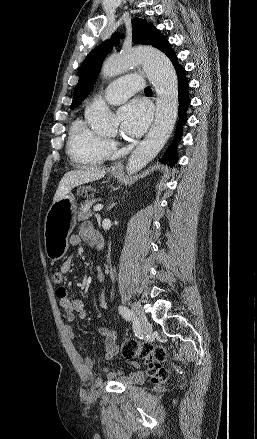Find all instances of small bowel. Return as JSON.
Wrapping results in <instances>:
<instances>
[{"instance_id": "small-bowel-1", "label": "small bowel", "mask_w": 257, "mask_h": 439, "mask_svg": "<svg viewBox=\"0 0 257 439\" xmlns=\"http://www.w3.org/2000/svg\"><path fill=\"white\" fill-rule=\"evenodd\" d=\"M101 239L97 231L89 224L83 223L77 232L70 236V244L73 246L79 245L82 242H86L91 246H96L98 240ZM72 271L71 261H65L60 267V273L62 275L68 274ZM97 279L99 282L103 281V275L100 270L97 271ZM56 295L59 299V304L66 313V319L70 322L75 321L77 318L83 319L87 312L84 302L80 299H71L68 291L64 287H59L56 290ZM107 306L104 294L101 295L99 300V307L105 309ZM69 337L73 338L75 332L72 327L67 328ZM98 332L105 339L104 354L107 360H113L119 353L118 334L106 327H99ZM83 370L86 374H90L93 370V361L89 356H84L82 361ZM133 371L131 373H122L111 367L104 368L107 377L111 380H116L124 384H136L141 383L144 380V374L142 373L137 363H132Z\"/></svg>"}]
</instances>
